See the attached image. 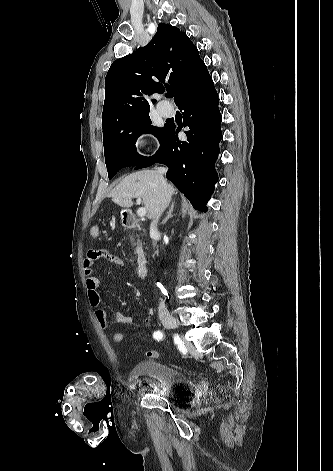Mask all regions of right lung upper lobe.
<instances>
[{
    "label": "right lung upper lobe",
    "mask_w": 333,
    "mask_h": 471,
    "mask_svg": "<svg viewBox=\"0 0 333 471\" xmlns=\"http://www.w3.org/2000/svg\"><path fill=\"white\" fill-rule=\"evenodd\" d=\"M207 68L186 33L161 23L153 39L133 54L114 61L105 79L103 131L149 111L143 94L175 90L176 104ZM156 100H152L154 104Z\"/></svg>",
    "instance_id": "right-lung-upper-lobe-1"
}]
</instances>
